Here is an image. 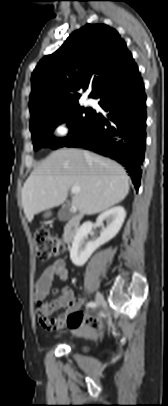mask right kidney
Wrapping results in <instances>:
<instances>
[{
    "mask_svg": "<svg viewBox=\"0 0 168 406\" xmlns=\"http://www.w3.org/2000/svg\"><path fill=\"white\" fill-rule=\"evenodd\" d=\"M125 217L126 212L122 206L113 207L100 214L97 218V225L102 227V231L100 237L95 241H86L93 224L91 222L82 224L74 237L70 249V259L72 263L76 266H83L96 249L117 235L123 225ZM104 221L107 222V227H104Z\"/></svg>",
    "mask_w": 168,
    "mask_h": 406,
    "instance_id": "obj_1",
    "label": "right kidney"
}]
</instances>
